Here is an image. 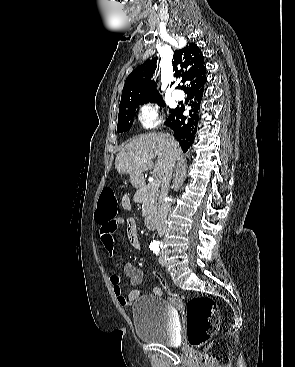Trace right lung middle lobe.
<instances>
[{
  "label": "right lung middle lobe",
  "instance_id": "right-lung-middle-lobe-1",
  "mask_svg": "<svg viewBox=\"0 0 295 367\" xmlns=\"http://www.w3.org/2000/svg\"><path fill=\"white\" fill-rule=\"evenodd\" d=\"M147 102H154V103H158L159 106H165V103L161 97L155 98L152 100H148V101H132V102H127L123 104L119 108L118 126H117L118 133H122V132H126L130 130L133 124V117L135 115L136 108L139 105H142ZM173 110L174 109H170V113Z\"/></svg>",
  "mask_w": 295,
  "mask_h": 367
}]
</instances>
